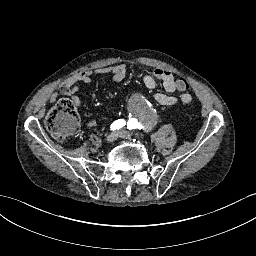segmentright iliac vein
Returning <instances> with one entry per match:
<instances>
[{
  "mask_svg": "<svg viewBox=\"0 0 256 256\" xmlns=\"http://www.w3.org/2000/svg\"><path fill=\"white\" fill-rule=\"evenodd\" d=\"M117 139V134L115 132H111L110 134L107 135L106 137V142L107 143H112Z\"/></svg>",
  "mask_w": 256,
  "mask_h": 256,
  "instance_id": "63e3f726",
  "label": "right iliac vein"
}]
</instances>
